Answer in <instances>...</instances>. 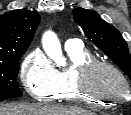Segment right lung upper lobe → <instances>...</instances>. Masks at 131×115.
I'll return each instance as SVG.
<instances>
[{
  "mask_svg": "<svg viewBox=\"0 0 131 115\" xmlns=\"http://www.w3.org/2000/svg\"><path fill=\"white\" fill-rule=\"evenodd\" d=\"M40 22L35 11L18 9L0 15V60L26 50L33 40Z\"/></svg>",
  "mask_w": 131,
  "mask_h": 115,
  "instance_id": "cb5924a9",
  "label": "right lung upper lobe"
}]
</instances>
